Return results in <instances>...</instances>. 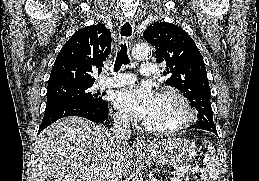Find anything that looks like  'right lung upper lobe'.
Instances as JSON below:
<instances>
[{
    "label": "right lung upper lobe",
    "mask_w": 259,
    "mask_h": 181,
    "mask_svg": "<svg viewBox=\"0 0 259 181\" xmlns=\"http://www.w3.org/2000/svg\"><path fill=\"white\" fill-rule=\"evenodd\" d=\"M111 51V32L103 24L78 30L56 57L48 86L61 83L93 84V69L103 67Z\"/></svg>",
    "instance_id": "right-lung-upper-lobe-1"
}]
</instances>
